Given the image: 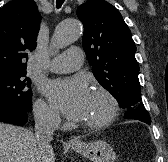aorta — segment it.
Masks as SVG:
<instances>
[{"label":"aorta","instance_id":"1","mask_svg":"<svg viewBox=\"0 0 168 162\" xmlns=\"http://www.w3.org/2000/svg\"><path fill=\"white\" fill-rule=\"evenodd\" d=\"M82 35V27L78 20H67L59 24L55 30L52 44L56 48H64Z\"/></svg>","mask_w":168,"mask_h":162}]
</instances>
